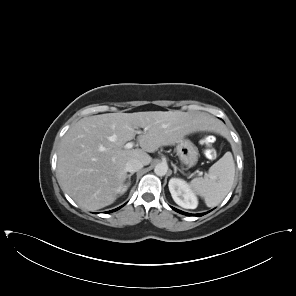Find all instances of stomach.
I'll use <instances>...</instances> for the list:
<instances>
[{"label":"stomach","instance_id":"obj_1","mask_svg":"<svg viewBox=\"0 0 296 296\" xmlns=\"http://www.w3.org/2000/svg\"><path fill=\"white\" fill-rule=\"evenodd\" d=\"M176 153L180 162L187 167L194 166L198 161V149L189 139L178 142Z\"/></svg>","mask_w":296,"mask_h":296}]
</instances>
